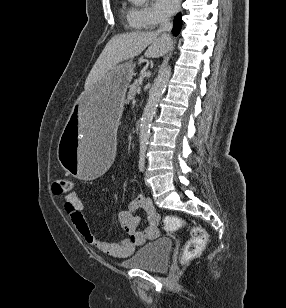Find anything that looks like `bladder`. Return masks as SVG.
<instances>
[{
	"label": "bladder",
	"mask_w": 286,
	"mask_h": 308,
	"mask_svg": "<svg viewBox=\"0 0 286 308\" xmlns=\"http://www.w3.org/2000/svg\"><path fill=\"white\" fill-rule=\"evenodd\" d=\"M172 243L167 238H160L147 243L132 255L121 261L125 267L145 269L148 271H163L169 266V256Z\"/></svg>",
	"instance_id": "obj_1"
}]
</instances>
